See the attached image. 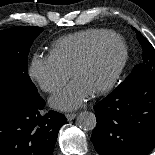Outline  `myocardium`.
Wrapping results in <instances>:
<instances>
[{
	"instance_id": "myocardium-1",
	"label": "myocardium",
	"mask_w": 155,
	"mask_h": 155,
	"mask_svg": "<svg viewBox=\"0 0 155 155\" xmlns=\"http://www.w3.org/2000/svg\"><path fill=\"white\" fill-rule=\"evenodd\" d=\"M112 40H118L122 43L123 49H124L123 58L119 64L115 74L111 78V80L107 84H105L104 86L99 88L97 91L91 93L93 96H99V95L108 93L109 91H111L113 89V87L117 84V82L121 78V76L125 70V67L127 65L128 59H129V46H128L126 40L120 34L115 33V32L102 38L77 63V65L74 67V69L72 71V77L74 79H76L77 75L95 59V57L97 56L99 51L102 49V47Z\"/></svg>"
}]
</instances>
